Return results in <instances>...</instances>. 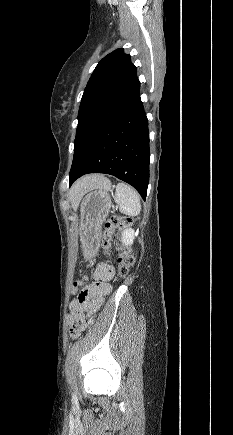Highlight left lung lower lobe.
Here are the masks:
<instances>
[{"label":"left lung lower lobe","instance_id":"left-lung-lower-lobe-1","mask_svg":"<svg viewBox=\"0 0 233 435\" xmlns=\"http://www.w3.org/2000/svg\"><path fill=\"white\" fill-rule=\"evenodd\" d=\"M148 134V120L139 98L72 164L70 185L84 174L106 173L132 185L145 200L149 182Z\"/></svg>","mask_w":233,"mask_h":435}]
</instances>
